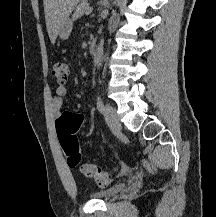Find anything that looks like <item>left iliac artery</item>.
I'll use <instances>...</instances> for the list:
<instances>
[{
  "instance_id": "44dca946",
  "label": "left iliac artery",
  "mask_w": 216,
  "mask_h": 217,
  "mask_svg": "<svg viewBox=\"0 0 216 217\" xmlns=\"http://www.w3.org/2000/svg\"><path fill=\"white\" fill-rule=\"evenodd\" d=\"M97 109L100 111V112H103L104 111V103H103V100L102 98L100 97V95L97 96Z\"/></svg>"
}]
</instances>
